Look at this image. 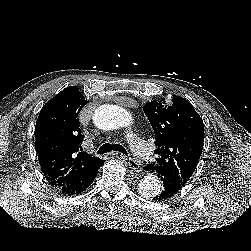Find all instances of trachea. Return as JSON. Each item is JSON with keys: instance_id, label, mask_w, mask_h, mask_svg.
<instances>
[{"instance_id": "obj_1", "label": "trachea", "mask_w": 251, "mask_h": 251, "mask_svg": "<svg viewBox=\"0 0 251 251\" xmlns=\"http://www.w3.org/2000/svg\"><path fill=\"white\" fill-rule=\"evenodd\" d=\"M118 151V152H121L123 153L124 155H127V151L126 149L120 145V144H110V143H105L103 144L99 150L97 151V154H104V153H108V152H111V151Z\"/></svg>"}]
</instances>
